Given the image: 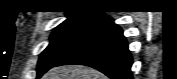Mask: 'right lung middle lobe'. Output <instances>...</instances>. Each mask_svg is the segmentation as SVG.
<instances>
[{"label": "right lung middle lobe", "instance_id": "right-lung-middle-lobe-1", "mask_svg": "<svg viewBox=\"0 0 177 79\" xmlns=\"http://www.w3.org/2000/svg\"><path fill=\"white\" fill-rule=\"evenodd\" d=\"M103 18L66 21L57 26L50 37L49 46L38 61L37 78L53 67L62 57L85 40Z\"/></svg>", "mask_w": 177, "mask_h": 79}]
</instances>
